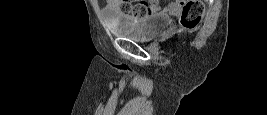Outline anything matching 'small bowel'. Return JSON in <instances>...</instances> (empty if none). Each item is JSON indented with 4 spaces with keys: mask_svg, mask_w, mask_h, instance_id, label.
Listing matches in <instances>:
<instances>
[{
    "mask_svg": "<svg viewBox=\"0 0 267 115\" xmlns=\"http://www.w3.org/2000/svg\"><path fill=\"white\" fill-rule=\"evenodd\" d=\"M118 5V1L110 0L109 7H116ZM184 2L183 1H173L169 3L166 7L159 8V11L163 13H169L172 15H177L181 12L183 8Z\"/></svg>",
    "mask_w": 267,
    "mask_h": 115,
    "instance_id": "c3829d8e",
    "label": "small bowel"
}]
</instances>
